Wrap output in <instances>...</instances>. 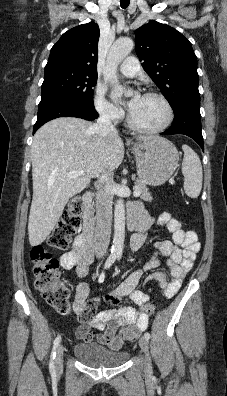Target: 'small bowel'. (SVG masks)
Wrapping results in <instances>:
<instances>
[{
    "label": "small bowel",
    "instance_id": "1",
    "mask_svg": "<svg viewBox=\"0 0 227 396\" xmlns=\"http://www.w3.org/2000/svg\"><path fill=\"white\" fill-rule=\"evenodd\" d=\"M129 214L137 217V231L131 239L132 251L140 250L147 240L148 231L157 224L165 227L172 235V240L157 241L154 244V256L142 269L133 271L122 282L115 285L107 299L117 304L129 298L136 306H143L149 300L147 293L138 290L137 285L144 272L156 268L159 257L167 258L169 276L163 272H153L146 278V283H156L165 297L175 295L181 287L182 280L191 270L201 245L193 230L182 228L179 220L170 213L164 212L156 220L142 210L138 203L129 208ZM94 260L93 252L85 244L81 235L77 236L70 251L60 257L64 269H76L78 277L87 275L89 266ZM89 285L80 283L75 290L73 308L80 314L81 324L76 329V337L85 342L96 341L112 350H119L125 342L134 341L148 326V315L133 306L101 310L98 313V300L90 299ZM96 330L98 332L92 331Z\"/></svg>",
    "mask_w": 227,
    "mask_h": 396
}]
</instances>
